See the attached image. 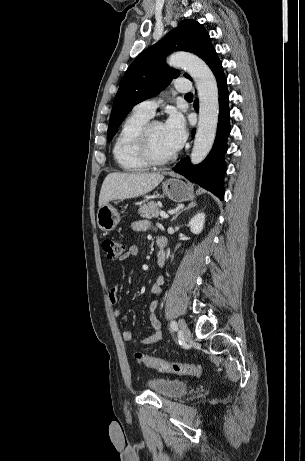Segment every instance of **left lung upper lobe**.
Instances as JSON below:
<instances>
[{"label":"left lung upper lobe","mask_w":305,"mask_h":461,"mask_svg":"<svg viewBox=\"0 0 305 461\" xmlns=\"http://www.w3.org/2000/svg\"><path fill=\"white\" fill-rule=\"evenodd\" d=\"M173 51H188L196 54L208 65L217 56L209 34L200 23L183 20L160 42L143 51L131 64L120 81L109 122L107 140L111 141L119 125L138 103L157 95L170 81L177 77L178 70L165 64L166 55ZM190 78L189 75L184 74Z\"/></svg>","instance_id":"left-lung-upper-lobe-1"}]
</instances>
